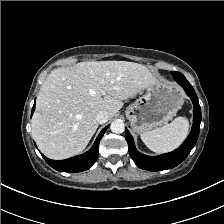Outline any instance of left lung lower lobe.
Returning a JSON list of instances; mask_svg holds the SVG:
<instances>
[{"instance_id": "0a47b994", "label": "left lung lower lobe", "mask_w": 224, "mask_h": 224, "mask_svg": "<svg viewBox=\"0 0 224 224\" xmlns=\"http://www.w3.org/2000/svg\"><path fill=\"white\" fill-rule=\"evenodd\" d=\"M174 79L184 88L186 94L191 98L194 105L192 130L184 143L173 152L156 157H150L143 155L136 150L132 136L130 135L129 131L125 129V139L128 142V149L131 158L138 167L148 171L171 169L179 165L186 159L191 149L195 146L199 136L201 108L197 95L183 74L179 73L178 75L174 76Z\"/></svg>"}]
</instances>
